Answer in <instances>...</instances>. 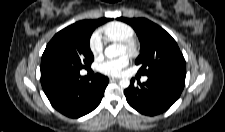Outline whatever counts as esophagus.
Here are the masks:
<instances>
[{"label": "esophagus", "mask_w": 225, "mask_h": 132, "mask_svg": "<svg viewBox=\"0 0 225 132\" xmlns=\"http://www.w3.org/2000/svg\"><path fill=\"white\" fill-rule=\"evenodd\" d=\"M119 80H120V78H114V77H111V78H110V81H111V82H115V81H119Z\"/></svg>", "instance_id": "esophagus-1"}]
</instances>
